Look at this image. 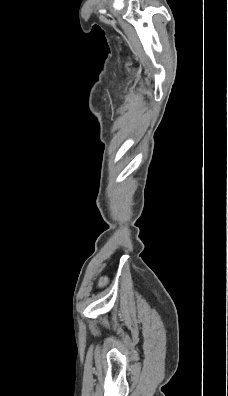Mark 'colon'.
Masks as SVG:
<instances>
[{"instance_id": "colon-1", "label": "colon", "mask_w": 228, "mask_h": 396, "mask_svg": "<svg viewBox=\"0 0 228 396\" xmlns=\"http://www.w3.org/2000/svg\"><path fill=\"white\" fill-rule=\"evenodd\" d=\"M105 281H106L105 278H101L100 281H99V283L102 285V284L105 283Z\"/></svg>"}]
</instances>
